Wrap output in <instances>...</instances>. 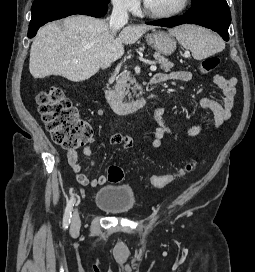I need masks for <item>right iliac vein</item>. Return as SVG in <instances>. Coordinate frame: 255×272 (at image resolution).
<instances>
[{
	"instance_id": "right-iliac-vein-1",
	"label": "right iliac vein",
	"mask_w": 255,
	"mask_h": 272,
	"mask_svg": "<svg viewBox=\"0 0 255 272\" xmlns=\"http://www.w3.org/2000/svg\"><path fill=\"white\" fill-rule=\"evenodd\" d=\"M80 228V217H79V212L77 209H75L72 217V223H71V230L73 232L78 231Z\"/></svg>"
}]
</instances>
